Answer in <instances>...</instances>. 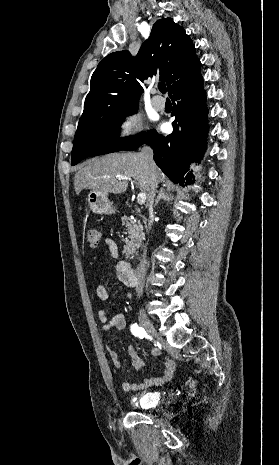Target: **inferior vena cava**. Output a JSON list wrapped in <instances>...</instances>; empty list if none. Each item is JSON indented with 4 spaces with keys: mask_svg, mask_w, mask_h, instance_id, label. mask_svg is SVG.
Wrapping results in <instances>:
<instances>
[{
    "mask_svg": "<svg viewBox=\"0 0 279 465\" xmlns=\"http://www.w3.org/2000/svg\"><path fill=\"white\" fill-rule=\"evenodd\" d=\"M140 155L144 159L145 167L149 170V174H150V193L148 197V211H149L148 231H150L151 220L153 218V202H154V197H155L156 190L158 187V180H157V175H156V165L153 160V150L150 147L145 146L142 148ZM146 264H147V260L145 257H143L140 260V263L136 270V275L138 277V284L136 287V292L138 296L142 295V292H143V279L145 276Z\"/></svg>",
    "mask_w": 279,
    "mask_h": 465,
    "instance_id": "1",
    "label": "inferior vena cava"
}]
</instances>
